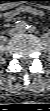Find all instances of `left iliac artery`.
<instances>
[{"mask_svg": "<svg viewBox=\"0 0 50 111\" xmlns=\"http://www.w3.org/2000/svg\"><path fill=\"white\" fill-rule=\"evenodd\" d=\"M29 32H34L36 30L35 26L33 25H27V28Z\"/></svg>", "mask_w": 50, "mask_h": 111, "instance_id": "1", "label": "left iliac artery"}]
</instances>
